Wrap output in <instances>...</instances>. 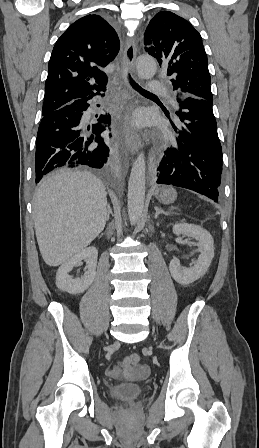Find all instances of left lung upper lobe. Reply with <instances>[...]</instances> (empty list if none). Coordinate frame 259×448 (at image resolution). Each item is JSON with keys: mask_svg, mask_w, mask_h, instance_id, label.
<instances>
[{"mask_svg": "<svg viewBox=\"0 0 259 448\" xmlns=\"http://www.w3.org/2000/svg\"><path fill=\"white\" fill-rule=\"evenodd\" d=\"M144 43L145 50L167 68L177 94L213 101L202 38L187 20L170 11L158 12L145 31Z\"/></svg>", "mask_w": 259, "mask_h": 448, "instance_id": "obj_1", "label": "left lung upper lobe"}]
</instances>
